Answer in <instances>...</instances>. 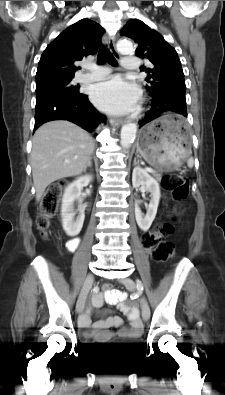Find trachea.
Instances as JSON below:
<instances>
[{
  "label": "trachea",
  "instance_id": "obj_1",
  "mask_svg": "<svg viewBox=\"0 0 225 395\" xmlns=\"http://www.w3.org/2000/svg\"><path fill=\"white\" fill-rule=\"evenodd\" d=\"M98 64H103L108 62L112 66H116L117 62L114 56L110 53V51L103 46L102 44L99 45V53L97 56Z\"/></svg>",
  "mask_w": 225,
  "mask_h": 395
}]
</instances>
